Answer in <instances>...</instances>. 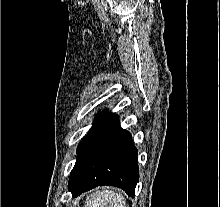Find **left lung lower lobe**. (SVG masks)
<instances>
[{
  "label": "left lung lower lobe",
  "mask_w": 220,
  "mask_h": 207,
  "mask_svg": "<svg viewBox=\"0 0 220 207\" xmlns=\"http://www.w3.org/2000/svg\"><path fill=\"white\" fill-rule=\"evenodd\" d=\"M139 180L137 149L118 116L106 113L97 118L81 140L68 187L73 197L100 185L122 188L134 197Z\"/></svg>",
  "instance_id": "obj_1"
}]
</instances>
